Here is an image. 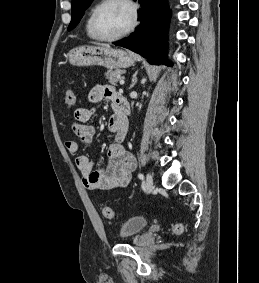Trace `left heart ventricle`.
<instances>
[{
	"label": "left heart ventricle",
	"mask_w": 259,
	"mask_h": 283,
	"mask_svg": "<svg viewBox=\"0 0 259 283\" xmlns=\"http://www.w3.org/2000/svg\"><path fill=\"white\" fill-rule=\"evenodd\" d=\"M130 21V8L121 1H113L99 11L96 26L100 35L112 37L124 31Z\"/></svg>",
	"instance_id": "obj_1"
}]
</instances>
